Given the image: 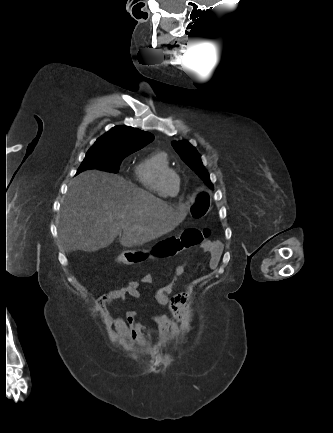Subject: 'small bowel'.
<instances>
[{
    "label": "small bowel",
    "mask_w": 333,
    "mask_h": 433,
    "mask_svg": "<svg viewBox=\"0 0 333 433\" xmlns=\"http://www.w3.org/2000/svg\"><path fill=\"white\" fill-rule=\"evenodd\" d=\"M203 250L210 253L209 268H216L221 257V247L212 243L204 245ZM185 267L186 262L178 264L173 270L171 279L154 291L156 304L167 306L175 319L179 321L178 324L162 313L153 314L152 319L160 328V337L157 339L153 338L147 328L140 323L138 312L135 309L127 310L124 316H120L109 309V305L117 300L128 302L139 299L141 297V284H150L153 281L151 274H145L140 282H131L127 286L112 290L97 299L96 308L104 320L112 344L123 346L127 351H131L135 346L147 347L155 343L167 344L182 331L187 332L192 328L194 319L192 296L187 293L171 295L173 284L184 272Z\"/></svg>",
    "instance_id": "1"
}]
</instances>
